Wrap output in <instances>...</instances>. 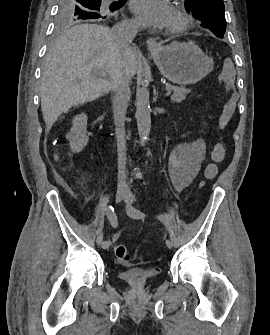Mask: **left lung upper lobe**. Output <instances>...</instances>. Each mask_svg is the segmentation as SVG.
<instances>
[{
	"label": "left lung upper lobe",
	"mask_w": 270,
	"mask_h": 335,
	"mask_svg": "<svg viewBox=\"0 0 270 335\" xmlns=\"http://www.w3.org/2000/svg\"><path fill=\"white\" fill-rule=\"evenodd\" d=\"M185 9L200 21L201 26L217 37L223 38L226 31L224 3L222 0H185Z\"/></svg>",
	"instance_id": "left-lung-upper-lobe-1"
}]
</instances>
